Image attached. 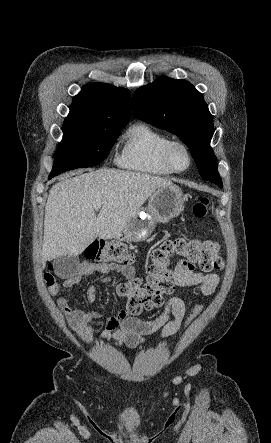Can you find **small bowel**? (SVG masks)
I'll list each match as a JSON object with an SVG mask.
<instances>
[{"label":"small bowel","instance_id":"obj_1","mask_svg":"<svg viewBox=\"0 0 271 443\" xmlns=\"http://www.w3.org/2000/svg\"><path fill=\"white\" fill-rule=\"evenodd\" d=\"M95 272L110 274L113 272L130 279L135 277V269L118 263H90L83 262L77 271L70 277L63 278L49 287L51 295H57L62 289L72 288L80 283L83 277ZM172 278L176 285L185 287L200 285L204 295L212 294L218 283L216 274L204 275L195 270L194 266L187 261H179L172 270ZM110 276L103 277L100 282L107 283ZM96 299V286L90 285L85 295V303L92 304ZM56 304L65 317L67 326L75 331L82 342H93L92 322L102 316V312L83 308L71 304L68 297L61 296L56 299ZM186 302L181 298L172 297L167 300L162 312L153 320H145L134 317L127 310V305L116 315L108 318L106 327L101 334L104 341H111L117 345H125L135 348L145 341V336L159 332V338L175 334L181 325L186 312ZM172 317V318H171Z\"/></svg>","mask_w":271,"mask_h":443}]
</instances>
